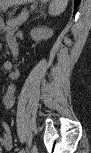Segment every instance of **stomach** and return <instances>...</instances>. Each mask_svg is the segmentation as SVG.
Instances as JSON below:
<instances>
[{"instance_id": "1", "label": "stomach", "mask_w": 91, "mask_h": 153, "mask_svg": "<svg viewBox=\"0 0 91 153\" xmlns=\"http://www.w3.org/2000/svg\"><path fill=\"white\" fill-rule=\"evenodd\" d=\"M15 3L19 4V3H25V2H30V1H27V0H24V1H20V0H17V1H14ZM10 3H12V1L10 0H0V8L3 10L5 9Z\"/></svg>"}]
</instances>
